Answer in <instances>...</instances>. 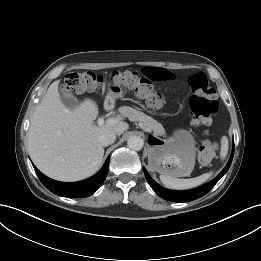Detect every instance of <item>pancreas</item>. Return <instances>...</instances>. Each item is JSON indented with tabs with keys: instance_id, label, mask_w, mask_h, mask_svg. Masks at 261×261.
I'll list each match as a JSON object with an SVG mask.
<instances>
[{
	"instance_id": "cf45deb5",
	"label": "pancreas",
	"mask_w": 261,
	"mask_h": 261,
	"mask_svg": "<svg viewBox=\"0 0 261 261\" xmlns=\"http://www.w3.org/2000/svg\"><path fill=\"white\" fill-rule=\"evenodd\" d=\"M119 112L123 115L128 117L131 121H140L148 127L149 129L153 130L155 133L159 134L163 132V127L160 123L156 120L151 118L150 116L145 115L143 112L137 111L131 107L123 106L119 109Z\"/></svg>"
}]
</instances>
